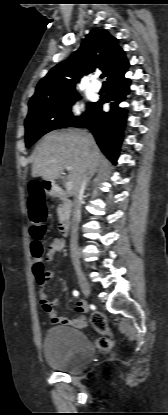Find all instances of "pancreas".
Wrapping results in <instances>:
<instances>
[{
  "mask_svg": "<svg viewBox=\"0 0 168 415\" xmlns=\"http://www.w3.org/2000/svg\"><path fill=\"white\" fill-rule=\"evenodd\" d=\"M70 210L71 202L68 199H63V204H61L57 209L59 220H64L67 216H69Z\"/></svg>",
  "mask_w": 168,
  "mask_h": 415,
  "instance_id": "1",
  "label": "pancreas"
}]
</instances>
